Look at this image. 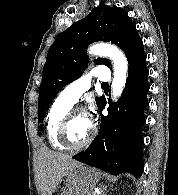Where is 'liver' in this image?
Masks as SVG:
<instances>
[{"instance_id": "obj_1", "label": "liver", "mask_w": 178, "mask_h": 195, "mask_svg": "<svg viewBox=\"0 0 178 195\" xmlns=\"http://www.w3.org/2000/svg\"><path fill=\"white\" fill-rule=\"evenodd\" d=\"M81 165L68 155L41 149L38 167L41 195L55 193L61 180Z\"/></svg>"}]
</instances>
